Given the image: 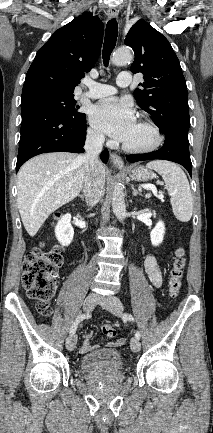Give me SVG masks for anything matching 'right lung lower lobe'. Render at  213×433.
<instances>
[{
    "instance_id": "obj_1",
    "label": "right lung lower lobe",
    "mask_w": 213,
    "mask_h": 433,
    "mask_svg": "<svg viewBox=\"0 0 213 433\" xmlns=\"http://www.w3.org/2000/svg\"><path fill=\"white\" fill-rule=\"evenodd\" d=\"M21 137L16 172L28 159L46 152H84L86 116L72 121L56 110L36 104L23 103ZM109 153L104 150L101 159L107 163Z\"/></svg>"
}]
</instances>
